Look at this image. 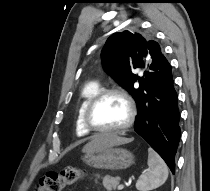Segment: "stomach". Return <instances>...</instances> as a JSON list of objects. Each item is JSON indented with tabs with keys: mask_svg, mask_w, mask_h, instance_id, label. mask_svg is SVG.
Wrapping results in <instances>:
<instances>
[{
	"mask_svg": "<svg viewBox=\"0 0 210 191\" xmlns=\"http://www.w3.org/2000/svg\"><path fill=\"white\" fill-rule=\"evenodd\" d=\"M83 162L96 169L124 170L135 162L134 155L123 148L114 146L85 152Z\"/></svg>",
	"mask_w": 210,
	"mask_h": 191,
	"instance_id": "obj_1",
	"label": "stomach"
}]
</instances>
